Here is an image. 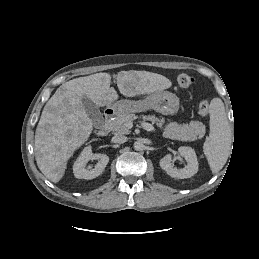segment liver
<instances>
[{"label":"liver","instance_id":"1","mask_svg":"<svg viewBox=\"0 0 259 259\" xmlns=\"http://www.w3.org/2000/svg\"><path fill=\"white\" fill-rule=\"evenodd\" d=\"M116 79L125 97L163 91L172 85L165 76L148 71H120ZM110 84L109 73L75 78L62 84L44 106L35 132L34 152L38 168L51 182L62 179L68 160L92 133L93 122L83 107V96L97 107H109L118 99Z\"/></svg>","mask_w":259,"mask_h":259}]
</instances>
